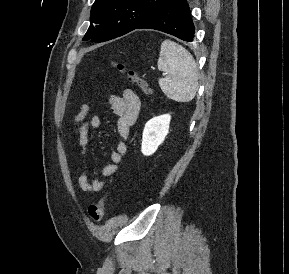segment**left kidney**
I'll return each instance as SVG.
<instances>
[{
	"instance_id": "obj_1",
	"label": "left kidney",
	"mask_w": 289,
	"mask_h": 274,
	"mask_svg": "<svg viewBox=\"0 0 289 274\" xmlns=\"http://www.w3.org/2000/svg\"><path fill=\"white\" fill-rule=\"evenodd\" d=\"M171 116L161 115L154 117L145 124L142 135L141 151L145 156L152 155L163 143L169 131Z\"/></svg>"
}]
</instances>
